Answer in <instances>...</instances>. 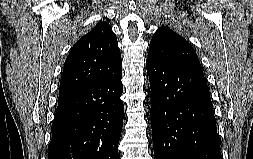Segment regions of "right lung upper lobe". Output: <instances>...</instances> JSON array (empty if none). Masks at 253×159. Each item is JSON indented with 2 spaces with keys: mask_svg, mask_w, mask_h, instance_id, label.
<instances>
[{
  "mask_svg": "<svg viewBox=\"0 0 253 159\" xmlns=\"http://www.w3.org/2000/svg\"><path fill=\"white\" fill-rule=\"evenodd\" d=\"M121 69L116 35L109 24L99 22L72 47L60 80L59 100Z\"/></svg>",
  "mask_w": 253,
  "mask_h": 159,
  "instance_id": "cb5924a9",
  "label": "right lung upper lobe"
}]
</instances>
